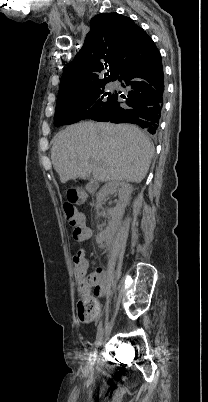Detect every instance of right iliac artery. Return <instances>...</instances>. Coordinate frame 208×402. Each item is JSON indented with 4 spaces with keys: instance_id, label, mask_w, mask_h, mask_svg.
Here are the masks:
<instances>
[{
    "instance_id": "1",
    "label": "right iliac artery",
    "mask_w": 208,
    "mask_h": 402,
    "mask_svg": "<svg viewBox=\"0 0 208 402\" xmlns=\"http://www.w3.org/2000/svg\"><path fill=\"white\" fill-rule=\"evenodd\" d=\"M102 325H103V322L100 321L99 324H98V327H97V336L99 335V333H100L101 330H102Z\"/></svg>"
}]
</instances>
